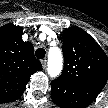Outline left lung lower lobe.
Wrapping results in <instances>:
<instances>
[{"label":"left lung lower lobe","mask_w":108,"mask_h":108,"mask_svg":"<svg viewBox=\"0 0 108 108\" xmlns=\"http://www.w3.org/2000/svg\"><path fill=\"white\" fill-rule=\"evenodd\" d=\"M102 89L55 79L51 82V97L61 108H85L91 104Z\"/></svg>","instance_id":"0a47b994"}]
</instances>
